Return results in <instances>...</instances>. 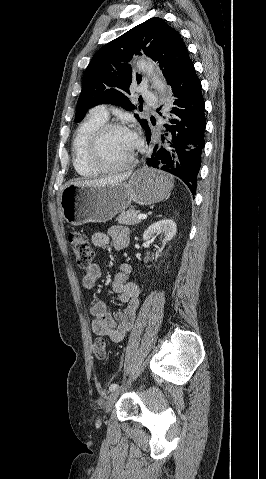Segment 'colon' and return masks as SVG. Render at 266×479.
Masks as SVG:
<instances>
[{"mask_svg":"<svg viewBox=\"0 0 266 479\" xmlns=\"http://www.w3.org/2000/svg\"><path fill=\"white\" fill-rule=\"evenodd\" d=\"M68 242L77 265L83 270H88L93 265L94 253L87 235L72 230L68 233ZM92 352L98 359H104L107 354L106 340L102 337L96 338L92 345Z\"/></svg>","mask_w":266,"mask_h":479,"instance_id":"colon-1","label":"colon"}]
</instances>
